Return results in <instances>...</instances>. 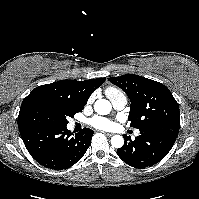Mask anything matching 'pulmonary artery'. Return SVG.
<instances>
[{
	"label": "pulmonary artery",
	"mask_w": 199,
	"mask_h": 199,
	"mask_svg": "<svg viewBox=\"0 0 199 199\" xmlns=\"http://www.w3.org/2000/svg\"><path fill=\"white\" fill-rule=\"evenodd\" d=\"M105 94L108 97V99L111 101L113 107L117 110L123 109L124 106L127 104L126 95L118 89L108 88L105 91ZM135 134L139 135V132H136Z\"/></svg>",
	"instance_id": "1"
}]
</instances>
